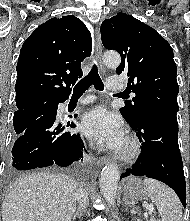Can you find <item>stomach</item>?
<instances>
[{
    "label": "stomach",
    "instance_id": "1",
    "mask_svg": "<svg viewBox=\"0 0 190 221\" xmlns=\"http://www.w3.org/2000/svg\"><path fill=\"white\" fill-rule=\"evenodd\" d=\"M124 194L132 200H145L148 196V189L144 182L136 177H131L124 182Z\"/></svg>",
    "mask_w": 190,
    "mask_h": 221
}]
</instances>
